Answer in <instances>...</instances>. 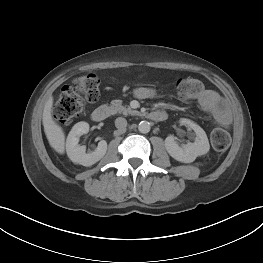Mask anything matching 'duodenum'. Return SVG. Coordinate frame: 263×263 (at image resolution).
<instances>
[{"mask_svg":"<svg viewBox=\"0 0 263 263\" xmlns=\"http://www.w3.org/2000/svg\"><path fill=\"white\" fill-rule=\"evenodd\" d=\"M109 114V109L107 106H99L95 108L91 113V118L95 122L104 121ZM148 117L153 121H164L167 118V113L164 111H152L148 114Z\"/></svg>","mask_w":263,"mask_h":263,"instance_id":"obj_1","label":"duodenum"}]
</instances>
